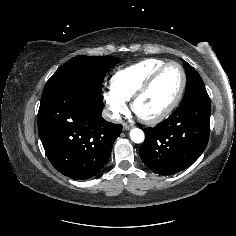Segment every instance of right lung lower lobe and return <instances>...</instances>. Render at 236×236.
Returning a JSON list of instances; mask_svg holds the SVG:
<instances>
[{"instance_id":"1","label":"right lung lower lobe","mask_w":236,"mask_h":236,"mask_svg":"<svg viewBox=\"0 0 236 236\" xmlns=\"http://www.w3.org/2000/svg\"><path fill=\"white\" fill-rule=\"evenodd\" d=\"M103 106L77 87L41 98L38 133L49 161L65 176L91 178L108 161L122 126L102 118Z\"/></svg>"}]
</instances>
